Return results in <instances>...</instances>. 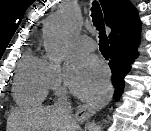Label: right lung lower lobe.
<instances>
[{"instance_id": "98d812e1", "label": "right lung lower lobe", "mask_w": 151, "mask_h": 131, "mask_svg": "<svg viewBox=\"0 0 151 131\" xmlns=\"http://www.w3.org/2000/svg\"><path fill=\"white\" fill-rule=\"evenodd\" d=\"M137 45L118 44L110 46L109 66L112 71V81L115 86L114 98L117 101L124 89V77L131 69V64L137 57Z\"/></svg>"}]
</instances>
